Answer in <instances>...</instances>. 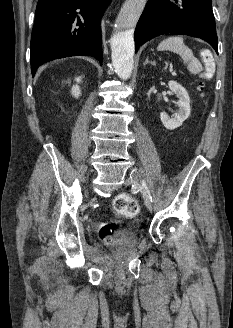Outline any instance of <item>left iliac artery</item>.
I'll list each match as a JSON object with an SVG mask.
<instances>
[{"instance_id": "left-iliac-artery-1", "label": "left iliac artery", "mask_w": 233, "mask_h": 328, "mask_svg": "<svg viewBox=\"0 0 233 328\" xmlns=\"http://www.w3.org/2000/svg\"><path fill=\"white\" fill-rule=\"evenodd\" d=\"M136 187H137V188L141 191V193L144 195L145 200L152 202V196H151L150 191H149V189H148V187H147V185H146V182H145L144 180L141 182V184H139V185L136 186Z\"/></svg>"}]
</instances>
